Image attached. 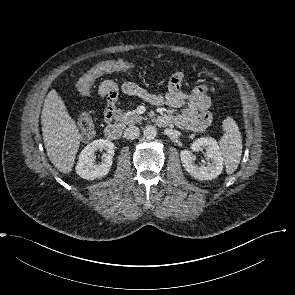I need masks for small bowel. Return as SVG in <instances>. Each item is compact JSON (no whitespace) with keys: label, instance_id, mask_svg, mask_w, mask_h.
Instances as JSON below:
<instances>
[{"label":"small bowel","instance_id":"c3829d8e","mask_svg":"<svg viewBox=\"0 0 295 295\" xmlns=\"http://www.w3.org/2000/svg\"><path fill=\"white\" fill-rule=\"evenodd\" d=\"M100 93L106 100L105 117L110 121L115 114V103L117 101L119 88L115 82L106 80L100 85ZM120 90L127 94L140 97L152 104H166L167 106L179 109L176 114L168 113L163 116L167 117L169 122H173L180 128L201 131L209 123L210 99L207 96V89L203 86L197 87L190 92L180 89L170 81L168 91L165 95L159 93H150L142 85L135 82H125ZM109 98V100H107Z\"/></svg>","mask_w":295,"mask_h":295}]
</instances>
